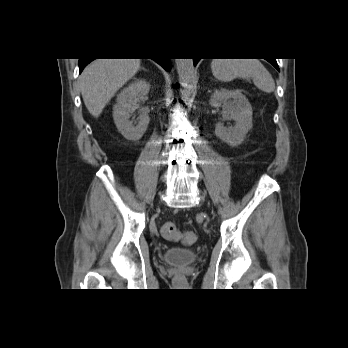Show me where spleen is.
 <instances>
[{"label":"spleen","mask_w":348,"mask_h":348,"mask_svg":"<svg viewBox=\"0 0 348 348\" xmlns=\"http://www.w3.org/2000/svg\"><path fill=\"white\" fill-rule=\"evenodd\" d=\"M211 69L214 77L222 82L235 78L252 79L254 85L265 93L275 90V82L258 59H213Z\"/></svg>","instance_id":"1"}]
</instances>
